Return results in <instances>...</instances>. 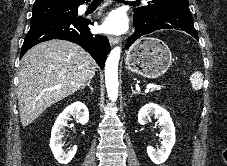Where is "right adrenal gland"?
<instances>
[{"mask_svg":"<svg viewBox=\"0 0 227 166\" xmlns=\"http://www.w3.org/2000/svg\"><path fill=\"white\" fill-rule=\"evenodd\" d=\"M91 79L90 80H88V82L86 83V86H88L90 89H91V91L93 92V88L91 87ZM84 88V87H83Z\"/></svg>","mask_w":227,"mask_h":166,"instance_id":"obj_1","label":"right adrenal gland"}]
</instances>
